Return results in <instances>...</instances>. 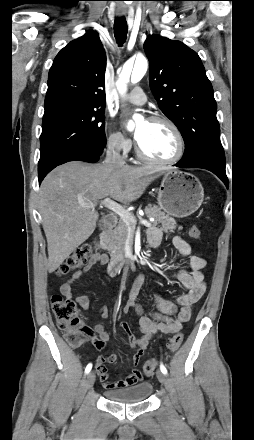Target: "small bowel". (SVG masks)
Listing matches in <instances>:
<instances>
[{"label": "small bowel", "instance_id": "small-bowel-1", "mask_svg": "<svg viewBox=\"0 0 254 440\" xmlns=\"http://www.w3.org/2000/svg\"><path fill=\"white\" fill-rule=\"evenodd\" d=\"M146 241L150 247L157 248L163 241V233L155 228H149L146 233ZM173 245L179 253L187 259V267L173 274V278L180 283L185 292L180 294L175 302L163 299L159 294L153 295V307L150 312H145L142 305L138 303V297L141 293L145 277L139 274L133 281L129 298L124 307L125 311L134 309L139 316L138 325L141 336L136 337L130 326L123 322L122 329L128 335L129 343L135 350L132 358L134 369L125 379L117 381H109V372L107 364H114L118 361L116 354L108 356L101 355L97 358V369L104 388H124L143 380L142 372L136 368L143 353L145 352L152 336L158 332L171 334L182 329L183 324L189 321L195 303L201 299L206 292V281L203 270L206 266V260L200 256L192 255L189 244L178 236L171 239ZM107 256L103 254H95L89 262L80 270L76 271L71 278L66 281L60 288V292L66 298L74 299L75 303L83 310H88L90 306L89 298L86 295H73V285L84 275L92 270L98 264H105ZM179 307V308H178ZM99 313L103 319L108 318L109 311L106 307H101ZM92 335L89 337L93 346L101 351L104 349L106 342L110 338V334L106 327L102 324L94 326Z\"/></svg>", "mask_w": 254, "mask_h": 440}]
</instances>
